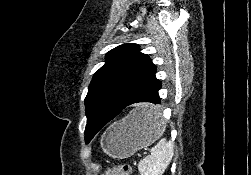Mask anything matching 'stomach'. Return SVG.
<instances>
[{
    "instance_id": "0dacf381",
    "label": "stomach",
    "mask_w": 251,
    "mask_h": 175,
    "mask_svg": "<svg viewBox=\"0 0 251 175\" xmlns=\"http://www.w3.org/2000/svg\"><path fill=\"white\" fill-rule=\"evenodd\" d=\"M159 110V106L135 107L126 117L111 123L101 135L104 153L114 159H125L156 141L160 135L170 134V129H159L168 128L165 118L158 114ZM149 111H155L156 114H147Z\"/></svg>"
}]
</instances>
